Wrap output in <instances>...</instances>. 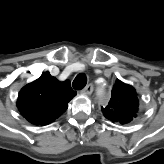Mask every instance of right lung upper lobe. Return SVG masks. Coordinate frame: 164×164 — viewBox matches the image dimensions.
Masks as SVG:
<instances>
[{"mask_svg": "<svg viewBox=\"0 0 164 164\" xmlns=\"http://www.w3.org/2000/svg\"><path fill=\"white\" fill-rule=\"evenodd\" d=\"M75 95L70 81L59 82L46 72L21 89L17 107L30 123L46 125L66 111Z\"/></svg>", "mask_w": 164, "mask_h": 164, "instance_id": "cb5924a9", "label": "right lung upper lobe"}]
</instances>
